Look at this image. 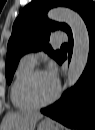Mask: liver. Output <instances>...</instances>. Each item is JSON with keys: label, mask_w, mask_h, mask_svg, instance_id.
<instances>
[{"label": "liver", "mask_w": 95, "mask_h": 130, "mask_svg": "<svg viewBox=\"0 0 95 130\" xmlns=\"http://www.w3.org/2000/svg\"><path fill=\"white\" fill-rule=\"evenodd\" d=\"M42 117L39 112H9L2 121V130H34Z\"/></svg>", "instance_id": "1"}]
</instances>
